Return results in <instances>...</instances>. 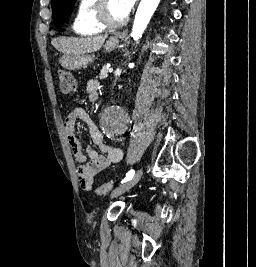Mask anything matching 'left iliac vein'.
<instances>
[{
	"mask_svg": "<svg viewBox=\"0 0 256 267\" xmlns=\"http://www.w3.org/2000/svg\"><path fill=\"white\" fill-rule=\"evenodd\" d=\"M143 174V170L139 169L138 172L128 181L121 184L119 187H117L115 190H113L110 194V198H116L126 191L130 190L133 186H135L141 179Z\"/></svg>",
	"mask_w": 256,
	"mask_h": 267,
	"instance_id": "obj_1",
	"label": "left iliac vein"
}]
</instances>
